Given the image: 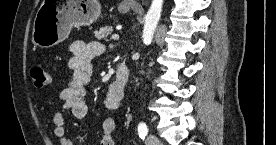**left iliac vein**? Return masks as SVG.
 Listing matches in <instances>:
<instances>
[{
  "label": "left iliac vein",
  "mask_w": 276,
  "mask_h": 145,
  "mask_svg": "<svg viewBox=\"0 0 276 145\" xmlns=\"http://www.w3.org/2000/svg\"><path fill=\"white\" fill-rule=\"evenodd\" d=\"M146 144L147 145H161V141L156 135L149 134L146 138Z\"/></svg>",
  "instance_id": "4c4485c4"
}]
</instances>
